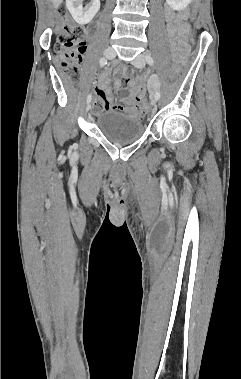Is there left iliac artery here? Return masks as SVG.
<instances>
[{
  "label": "left iliac artery",
  "instance_id": "left-iliac-artery-1",
  "mask_svg": "<svg viewBox=\"0 0 241 379\" xmlns=\"http://www.w3.org/2000/svg\"><path fill=\"white\" fill-rule=\"evenodd\" d=\"M145 58H146V62H147L150 66H152V65L154 64V60H153V58L151 57L150 54H146ZM155 97H156L157 100L160 98V91H157V92L155 93Z\"/></svg>",
  "mask_w": 241,
  "mask_h": 379
}]
</instances>
